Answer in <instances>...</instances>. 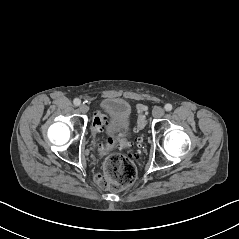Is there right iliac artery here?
I'll return each instance as SVG.
<instances>
[{
	"label": "right iliac artery",
	"instance_id": "obj_1",
	"mask_svg": "<svg viewBox=\"0 0 239 239\" xmlns=\"http://www.w3.org/2000/svg\"><path fill=\"white\" fill-rule=\"evenodd\" d=\"M73 103L75 106H79L81 104V101L78 98H75Z\"/></svg>",
	"mask_w": 239,
	"mask_h": 239
}]
</instances>
